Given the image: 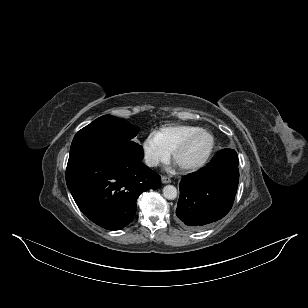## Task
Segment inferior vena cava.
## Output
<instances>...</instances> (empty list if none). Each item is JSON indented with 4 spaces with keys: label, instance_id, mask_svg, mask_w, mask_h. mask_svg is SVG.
<instances>
[{
    "label": "inferior vena cava",
    "instance_id": "inferior-vena-cava-1",
    "mask_svg": "<svg viewBox=\"0 0 308 308\" xmlns=\"http://www.w3.org/2000/svg\"><path fill=\"white\" fill-rule=\"evenodd\" d=\"M145 163H146V165L148 166V167H155V166H157L158 165V160L157 159H155V158H153V157H151V156H146L145 157Z\"/></svg>",
    "mask_w": 308,
    "mask_h": 308
}]
</instances>
